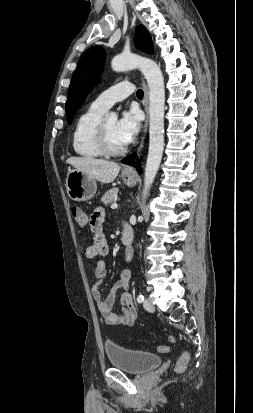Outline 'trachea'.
Segmentation results:
<instances>
[{
	"label": "trachea",
	"instance_id": "3493384b",
	"mask_svg": "<svg viewBox=\"0 0 253 413\" xmlns=\"http://www.w3.org/2000/svg\"><path fill=\"white\" fill-rule=\"evenodd\" d=\"M136 95H137V98H138V99H142V98H143L144 93H143V91H142L141 89H139V90H137Z\"/></svg>",
	"mask_w": 253,
	"mask_h": 413
}]
</instances>
